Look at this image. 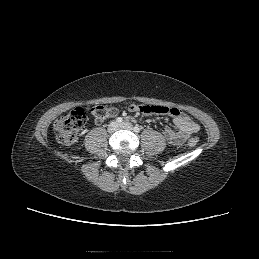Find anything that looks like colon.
<instances>
[{
  "mask_svg": "<svg viewBox=\"0 0 259 259\" xmlns=\"http://www.w3.org/2000/svg\"><path fill=\"white\" fill-rule=\"evenodd\" d=\"M90 114L95 122L100 123L104 120L114 117L119 113L115 107L106 105H97L87 109L75 108L68 114L59 116L53 125L56 141L64 146L74 144L79 137L80 130L87 121V114ZM199 142L197 137H193L188 141V145L195 147Z\"/></svg>",
  "mask_w": 259,
  "mask_h": 259,
  "instance_id": "obj_1",
  "label": "colon"
}]
</instances>
